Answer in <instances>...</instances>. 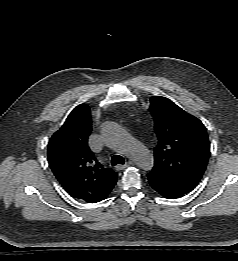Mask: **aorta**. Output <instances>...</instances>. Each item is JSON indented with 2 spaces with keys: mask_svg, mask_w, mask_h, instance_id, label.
I'll list each match as a JSON object with an SVG mask.
<instances>
[{
  "mask_svg": "<svg viewBox=\"0 0 238 261\" xmlns=\"http://www.w3.org/2000/svg\"><path fill=\"white\" fill-rule=\"evenodd\" d=\"M105 136L118 151L131 158L138 167L146 171L152 169L154 159L149 150L132 139L121 127L115 123H108Z\"/></svg>",
  "mask_w": 238,
  "mask_h": 261,
  "instance_id": "762f6f07",
  "label": "aorta"
}]
</instances>
